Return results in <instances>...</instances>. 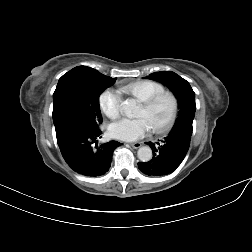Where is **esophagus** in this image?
Listing matches in <instances>:
<instances>
[{
    "mask_svg": "<svg viewBox=\"0 0 252 252\" xmlns=\"http://www.w3.org/2000/svg\"><path fill=\"white\" fill-rule=\"evenodd\" d=\"M130 146L134 149H138L142 146L141 142H135V143H131Z\"/></svg>",
    "mask_w": 252,
    "mask_h": 252,
    "instance_id": "1",
    "label": "esophagus"
}]
</instances>
